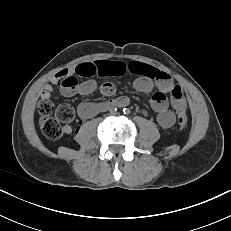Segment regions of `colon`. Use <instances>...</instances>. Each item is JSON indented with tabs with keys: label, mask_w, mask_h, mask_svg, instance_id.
<instances>
[{
	"label": "colon",
	"mask_w": 231,
	"mask_h": 231,
	"mask_svg": "<svg viewBox=\"0 0 231 231\" xmlns=\"http://www.w3.org/2000/svg\"><path fill=\"white\" fill-rule=\"evenodd\" d=\"M78 88V79L74 74L66 76L62 80L61 89L66 95L73 94ZM40 114L39 126L43 135L53 141L61 138L63 134L62 125L73 121L74 109L69 104H60L55 107L50 99H41L38 104ZM178 126L184 129L187 125L185 106L178 111Z\"/></svg>",
	"instance_id": "5ec220e1"
}]
</instances>
